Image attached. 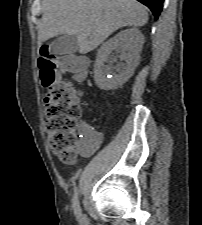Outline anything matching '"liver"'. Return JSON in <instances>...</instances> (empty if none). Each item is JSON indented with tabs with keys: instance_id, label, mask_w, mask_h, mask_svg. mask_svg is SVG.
Returning a JSON list of instances; mask_svg holds the SVG:
<instances>
[{
	"instance_id": "liver-1",
	"label": "liver",
	"mask_w": 202,
	"mask_h": 225,
	"mask_svg": "<svg viewBox=\"0 0 202 225\" xmlns=\"http://www.w3.org/2000/svg\"><path fill=\"white\" fill-rule=\"evenodd\" d=\"M42 7L38 45L73 35L81 54L96 49L121 27H142L148 21L146 8L136 0H43Z\"/></svg>"
}]
</instances>
